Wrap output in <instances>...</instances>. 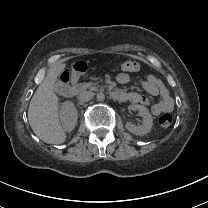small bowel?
<instances>
[{"label": "small bowel", "instance_id": "small-bowel-1", "mask_svg": "<svg viewBox=\"0 0 208 208\" xmlns=\"http://www.w3.org/2000/svg\"><path fill=\"white\" fill-rule=\"evenodd\" d=\"M117 82L121 85H125L130 82V77L125 73H120L117 76ZM141 86L149 94L160 97V101L154 104L151 108L154 115H160L172 111L173 100L170 93L157 77L154 75L147 76L141 81ZM125 95L127 100L130 102L139 103L144 106L149 104V99L144 95H140L136 92H128Z\"/></svg>", "mask_w": 208, "mask_h": 208}]
</instances>
